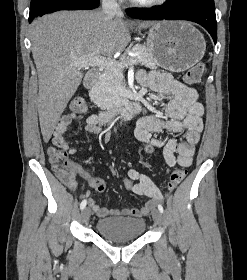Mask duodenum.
<instances>
[{
    "label": "duodenum",
    "mask_w": 247,
    "mask_h": 280,
    "mask_svg": "<svg viewBox=\"0 0 247 280\" xmlns=\"http://www.w3.org/2000/svg\"><path fill=\"white\" fill-rule=\"evenodd\" d=\"M99 73L97 71L90 72L85 80V86L88 89H92L98 81ZM140 110V105L136 101V96H132L131 100L122 104L117 108L107 109L99 114V120L102 123L109 122L111 120L126 121L131 119Z\"/></svg>",
    "instance_id": "duodenum-1"
}]
</instances>
